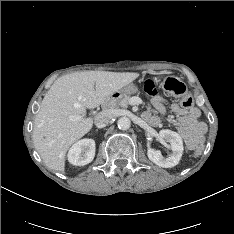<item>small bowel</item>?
Returning <instances> with one entry per match:
<instances>
[{
    "mask_svg": "<svg viewBox=\"0 0 234 234\" xmlns=\"http://www.w3.org/2000/svg\"><path fill=\"white\" fill-rule=\"evenodd\" d=\"M150 102L159 112V115L147 111L144 113V119L151 126L157 127L165 116L167 103L165 99L159 95L152 96ZM170 110L175 115V123L178 126L179 134L184 138L189 148L201 143L204 139L207 127L205 123L199 120V109L196 107L184 109L178 104H172Z\"/></svg>",
    "mask_w": 234,
    "mask_h": 234,
    "instance_id": "1",
    "label": "small bowel"
}]
</instances>
